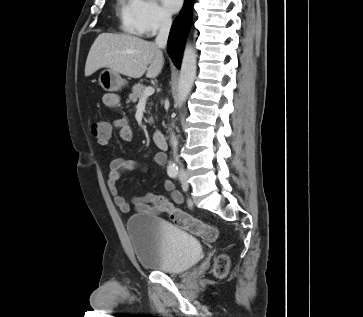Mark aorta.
I'll return each mask as SVG.
<instances>
[{
    "label": "aorta",
    "instance_id": "1",
    "mask_svg": "<svg viewBox=\"0 0 363 317\" xmlns=\"http://www.w3.org/2000/svg\"><path fill=\"white\" fill-rule=\"evenodd\" d=\"M197 54L192 45H186L183 53L179 80L177 103L182 104L188 98L196 77ZM168 169H175V164L169 163Z\"/></svg>",
    "mask_w": 363,
    "mask_h": 317
}]
</instances>
